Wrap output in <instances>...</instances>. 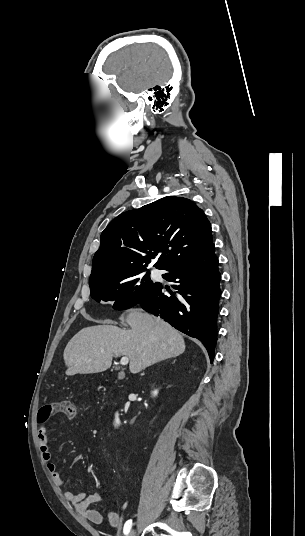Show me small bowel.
I'll list each match as a JSON object with an SVG mask.
<instances>
[{"instance_id": "1", "label": "small bowel", "mask_w": 305, "mask_h": 536, "mask_svg": "<svg viewBox=\"0 0 305 536\" xmlns=\"http://www.w3.org/2000/svg\"><path fill=\"white\" fill-rule=\"evenodd\" d=\"M37 435V441L43 460L46 463L48 472L50 473L54 483L63 487L66 484L65 477L58 471L57 465L54 461V456L50 451L48 440V429L41 427ZM65 498L74 506L75 510L84 518L94 524H101L103 516L100 512L91 508V505L102 500L103 496L100 492L92 494H86L84 491L74 492L72 490H66L64 492ZM108 522L110 526L117 528L120 525V515L115 511H108Z\"/></svg>"}]
</instances>
